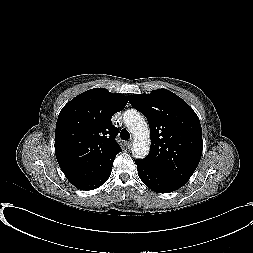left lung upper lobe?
<instances>
[{"label":"left lung upper lobe","mask_w":253,"mask_h":253,"mask_svg":"<svg viewBox=\"0 0 253 253\" xmlns=\"http://www.w3.org/2000/svg\"><path fill=\"white\" fill-rule=\"evenodd\" d=\"M128 100L149 123L151 147L142 161L162 175L186 184L199 164L203 148L196 113L166 89L129 95Z\"/></svg>","instance_id":"left-lung-upper-lobe-1"}]
</instances>
